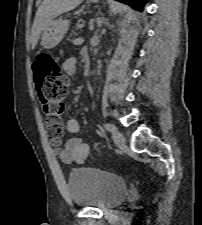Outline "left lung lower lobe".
Wrapping results in <instances>:
<instances>
[{
    "label": "left lung lower lobe",
    "instance_id": "0a47b994",
    "mask_svg": "<svg viewBox=\"0 0 202 225\" xmlns=\"http://www.w3.org/2000/svg\"><path fill=\"white\" fill-rule=\"evenodd\" d=\"M118 1L129 4L130 6L140 11L143 10L144 4L146 2V0H118Z\"/></svg>",
    "mask_w": 202,
    "mask_h": 225
}]
</instances>
